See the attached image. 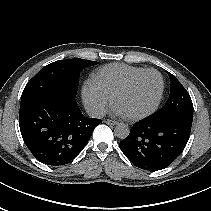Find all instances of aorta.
I'll use <instances>...</instances> for the list:
<instances>
[{
    "instance_id": "aorta-1",
    "label": "aorta",
    "mask_w": 211,
    "mask_h": 211,
    "mask_svg": "<svg viewBox=\"0 0 211 211\" xmlns=\"http://www.w3.org/2000/svg\"><path fill=\"white\" fill-rule=\"evenodd\" d=\"M129 133H130V129L128 125L124 123L117 124V126L114 129L115 136L120 139H125L126 137H128Z\"/></svg>"
}]
</instances>
